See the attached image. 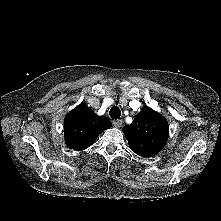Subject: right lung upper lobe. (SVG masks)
Wrapping results in <instances>:
<instances>
[{
    "instance_id": "obj_1",
    "label": "right lung upper lobe",
    "mask_w": 221,
    "mask_h": 221,
    "mask_svg": "<svg viewBox=\"0 0 221 221\" xmlns=\"http://www.w3.org/2000/svg\"><path fill=\"white\" fill-rule=\"evenodd\" d=\"M64 126L66 144L80 151L91 146L112 123L106 116L96 115L86 104L81 103L66 116Z\"/></svg>"
}]
</instances>
